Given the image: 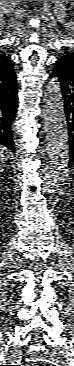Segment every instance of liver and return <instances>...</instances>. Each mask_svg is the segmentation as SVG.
<instances>
[{"mask_svg": "<svg viewBox=\"0 0 74 366\" xmlns=\"http://www.w3.org/2000/svg\"><path fill=\"white\" fill-rule=\"evenodd\" d=\"M10 151L1 145L0 147V161L1 163L5 162L9 158Z\"/></svg>", "mask_w": 74, "mask_h": 366, "instance_id": "1", "label": "liver"}]
</instances>
